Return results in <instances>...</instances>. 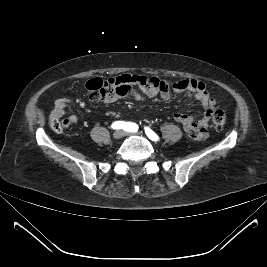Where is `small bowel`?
I'll use <instances>...</instances> for the list:
<instances>
[{
  "label": "small bowel",
  "mask_w": 267,
  "mask_h": 267,
  "mask_svg": "<svg viewBox=\"0 0 267 267\" xmlns=\"http://www.w3.org/2000/svg\"><path fill=\"white\" fill-rule=\"evenodd\" d=\"M143 76L124 74L108 79L92 78L85 83V87L90 91V98L95 102L114 103L124 96L131 95L135 99H141L143 95L154 96L159 94L162 99L170 100L174 94L184 93L194 97L199 101L204 109V113L195 119L192 115L176 114L174 119L181 124L186 134L195 140H205L208 136V123L213 108L216 106L215 100L209 95L203 82L195 79H186L176 83L164 81L165 86L158 91H146L139 79ZM71 100L67 97L59 98L55 102L53 116L61 118L68 103ZM64 127L78 123V117L72 114L63 119Z\"/></svg>",
  "instance_id": "obj_1"
}]
</instances>
